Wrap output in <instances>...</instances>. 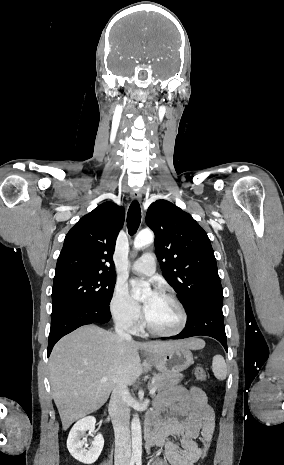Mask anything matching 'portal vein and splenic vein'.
<instances>
[{"mask_svg":"<svg viewBox=\"0 0 284 465\" xmlns=\"http://www.w3.org/2000/svg\"><path fill=\"white\" fill-rule=\"evenodd\" d=\"M101 383H106V381H108V377H102V379H100ZM156 389H151V391H149L150 395H154Z\"/></svg>","mask_w":284,"mask_h":465,"instance_id":"obj_1","label":"portal vein and splenic vein"}]
</instances>
